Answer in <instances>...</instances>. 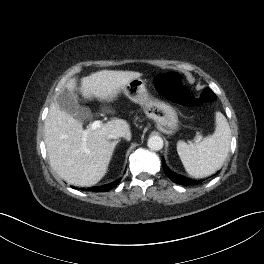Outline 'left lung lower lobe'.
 I'll list each match as a JSON object with an SVG mask.
<instances>
[{
  "label": "left lung lower lobe",
  "instance_id": "left-lung-lower-lobe-1",
  "mask_svg": "<svg viewBox=\"0 0 264 264\" xmlns=\"http://www.w3.org/2000/svg\"><path fill=\"white\" fill-rule=\"evenodd\" d=\"M162 165H163V169L164 172L166 173V175L175 183L177 184H181V185H195L198 184L200 181L198 180H192L190 178H186L185 176L179 175L173 171H171L167 165L165 164L164 159L162 160Z\"/></svg>",
  "mask_w": 264,
  "mask_h": 264
}]
</instances>
